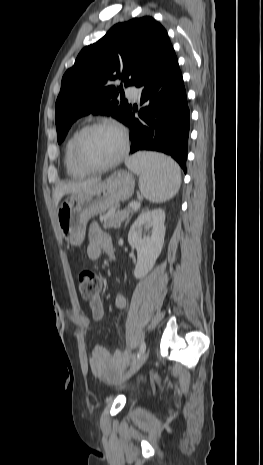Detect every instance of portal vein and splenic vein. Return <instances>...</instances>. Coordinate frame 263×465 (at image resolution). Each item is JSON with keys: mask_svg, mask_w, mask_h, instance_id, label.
Instances as JSON below:
<instances>
[{"mask_svg": "<svg viewBox=\"0 0 263 465\" xmlns=\"http://www.w3.org/2000/svg\"><path fill=\"white\" fill-rule=\"evenodd\" d=\"M128 208L137 210V209L140 208V203L139 202H131V203H129Z\"/></svg>", "mask_w": 263, "mask_h": 465, "instance_id": "obj_1", "label": "portal vein and splenic vein"}]
</instances>
